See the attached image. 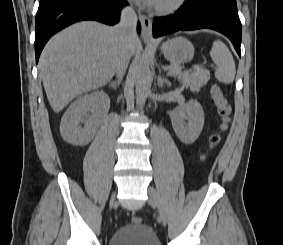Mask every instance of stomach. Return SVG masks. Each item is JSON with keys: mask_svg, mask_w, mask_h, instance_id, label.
<instances>
[{"mask_svg": "<svg viewBox=\"0 0 283 245\" xmlns=\"http://www.w3.org/2000/svg\"><path fill=\"white\" fill-rule=\"evenodd\" d=\"M164 57L175 65L187 63L193 59L194 47L184 37L167 40L161 46Z\"/></svg>", "mask_w": 283, "mask_h": 245, "instance_id": "0dacf381", "label": "stomach"}]
</instances>
